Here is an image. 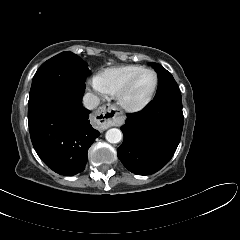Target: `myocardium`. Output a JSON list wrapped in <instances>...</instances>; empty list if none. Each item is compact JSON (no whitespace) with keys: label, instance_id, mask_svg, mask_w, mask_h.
Masks as SVG:
<instances>
[{"label":"myocardium","instance_id":"f54148a6","mask_svg":"<svg viewBox=\"0 0 240 240\" xmlns=\"http://www.w3.org/2000/svg\"><path fill=\"white\" fill-rule=\"evenodd\" d=\"M145 72H151L154 75L155 78V83H154V87L152 89V91L150 92V94L148 95V97L138 103V104H130L126 101L125 96L127 94V92L130 90V88L132 87V85L134 84V82L137 80V78L145 73ZM159 85V77L158 74L155 70L151 69V68H144L142 70H140L139 72H137L136 74H134L116 93V98L118 103L121 105L122 108H124L126 111L128 112H140L142 110H144L153 100L154 95L157 91Z\"/></svg>","mask_w":240,"mask_h":240}]
</instances>
